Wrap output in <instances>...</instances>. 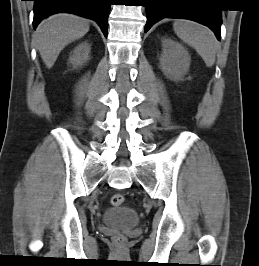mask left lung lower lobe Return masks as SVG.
<instances>
[{
    "label": "left lung lower lobe",
    "instance_id": "0a47b994",
    "mask_svg": "<svg viewBox=\"0 0 259 266\" xmlns=\"http://www.w3.org/2000/svg\"><path fill=\"white\" fill-rule=\"evenodd\" d=\"M195 2L194 0H145L147 15L145 32L163 18H183L208 26L220 39L221 10L209 8L206 5L197 6Z\"/></svg>",
    "mask_w": 259,
    "mask_h": 266
}]
</instances>
